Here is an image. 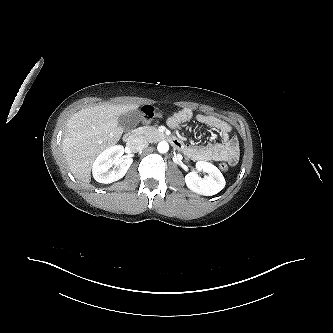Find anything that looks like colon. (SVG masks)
I'll use <instances>...</instances> for the list:
<instances>
[{"instance_id": "5ec220e1", "label": "colon", "mask_w": 333, "mask_h": 333, "mask_svg": "<svg viewBox=\"0 0 333 333\" xmlns=\"http://www.w3.org/2000/svg\"><path fill=\"white\" fill-rule=\"evenodd\" d=\"M162 115H163L162 112L157 111L156 109H154L151 106H144L142 108V122L144 124H148L153 119L158 118V117H160ZM219 168H220L221 171L225 172V171L228 170V164L226 162H222L219 165Z\"/></svg>"}]
</instances>
